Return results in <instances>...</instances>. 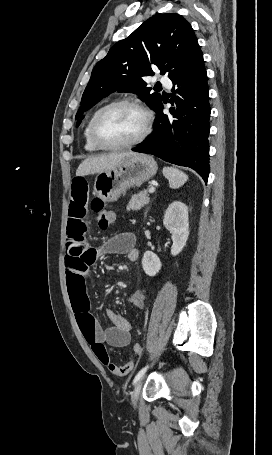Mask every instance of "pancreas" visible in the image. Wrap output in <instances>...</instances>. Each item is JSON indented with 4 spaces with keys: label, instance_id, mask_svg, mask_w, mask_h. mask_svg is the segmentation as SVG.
Returning <instances> with one entry per match:
<instances>
[{
    "label": "pancreas",
    "instance_id": "pancreas-1",
    "mask_svg": "<svg viewBox=\"0 0 272 455\" xmlns=\"http://www.w3.org/2000/svg\"><path fill=\"white\" fill-rule=\"evenodd\" d=\"M149 203V197L147 190H143L138 194H135L132 196L130 199L128 205H127V210H140L142 207H144L146 204Z\"/></svg>",
    "mask_w": 272,
    "mask_h": 455
}]
</instances>
